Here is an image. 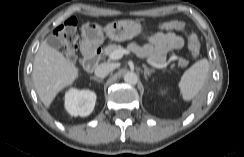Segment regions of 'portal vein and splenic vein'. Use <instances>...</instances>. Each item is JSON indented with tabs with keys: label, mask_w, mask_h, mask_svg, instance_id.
<instances>
[{
	"label": "portal vein and splenic vein",
	"mask_w": 244,
	"mask_h": 157,
	"mask_svg": "<svg viewBox=\"0 0 244 157\" xmlns=\"http://www.w3.org/2000/svg\"><path fill=\"white\" fill-rule=\"evenodd\" d=\"M124 54H130V51L125 50V49L116 50V51H114L113 53L110 54L109 59L110 60H119V59H121L123 57ZM147 63L152 65L153 67L159 68V69L165 68L167 66V63L157 64V63H155V62H153V61H151L149 59H147Z\"/></svg>",
	"instance_id": "portal-vein-and-splenic-vein-1"
}]
</instances>
